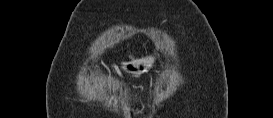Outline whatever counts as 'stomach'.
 <instances>
[{"mask_svg":"<svg viewBox=\"0 0 273 118\" xmlns=\"http://www.w3.org/2000/svg\"><path fill=\"white\" fill-rule=\"evenodd\" d=\"M156 58L155 56H147L141 59L132 60L129 62H122V68L129 74L134 76H140L143 73H146L154 65Z\"/></svg>","mask_w":273,"mask_h":118,"instance_id":"0dacf381","label":"stomach"}]
</instances>
